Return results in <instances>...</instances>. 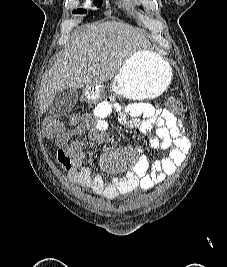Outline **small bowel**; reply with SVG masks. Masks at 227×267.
I'll return each instance as SVG.
<instances>
[{
	"label": "small bowel",
	"instance_id": "small-bowel-1",
	"mask_svg": "<svg viewBox=\"0 0 227 267\" xmlns=\"http://www.w3.org/2000/svg\"><path fill=\"white\" fill-rule=\"evenodd\" d=\"M92 117L93 124L86 117L65 131L57 141L56 157L70 181L108 199L138 188L148 190L165 181L184 164L191 147L180 118L167 109L156 108L149 103H132L122 107L106 100L94 107ZM112 117H118L122 122L137 127L147 135L154 148L167 154L152 164L140 156L131 171L110 179L93 174L85 164L84 142L70 139L88 130L89 141L101 142L102 133L110 127L109 120Z\"/></svg>",
	"mask_w": 227,
	"mask_h": 267
}]
</instances>
